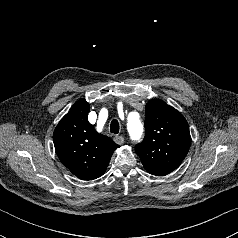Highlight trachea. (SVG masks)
I'll list each match as a JSON object with an SVG mask.
<instances>
[{
	"mask_svg": "<svg viewBox=\"0 0 238 238\" xmlns=\"http://www.w3.org/2000/svg\"><path fill=\"white\" fill-rule=\"evenodd\" d=\"M119 122L116 119H113L110 124V132L114 134L119 133Z\"/></svg>",
	"mask_w": 238,
	"mask_h": 238,
	"instance_id": "trachea-1",
	"label": "trachea"
}]
</instances>
